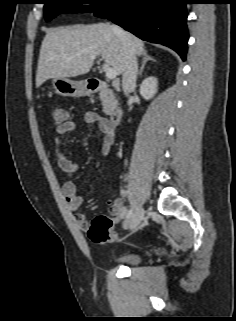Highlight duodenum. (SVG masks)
<instances>
[{"label": "duodenum", "mask_w": 236, "mask_h": 321, "mask_svg": "<svg viewBox=\"0 0 236 321\" xmlns=\"http://www.w3.org/2000/svg\"><path fill=\"white\" fill-rule=\"evenodd\" d=\"M88 88H89V91L93 93L101 92L106 95L111 94V91L107 86L106 82L98 78H93L89 80ZM122 117H123V111L120 108L113 107L109 110V120L113 124H118L121 121Z\"/></svg>", "instance_id": "410a0bca"}]
</instances>
